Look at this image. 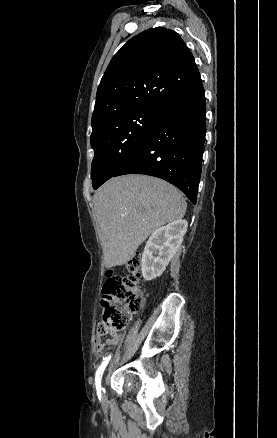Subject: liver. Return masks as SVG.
I'll list each match as a JSON object with an SVG mask.
<instances>
[{
    "mask_svg": "<svg viewBox=\"0 0 277 438\" xmlns=\"http://www.w3.org/2000/svg\"><path fill=\"white\" fill-rule=\"evenodd\" d=\"M93 202L105 268L127 264L154 230L181 220L187 208L177 188L140 174L111 178Z\"/></svg>",
    "mask_w": 277,
    "mask_h": 438,
    "instance_id": "1",
    "label": "liver"
}]
</instances>
